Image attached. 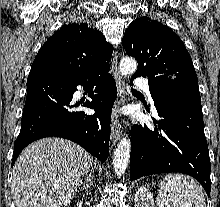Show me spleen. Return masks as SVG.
<instances>
[{"mask_svg": "<svg viewBox=\"0 0 220 207\" xmlns=\"http://www.w3.org/2000/svg\"><path fill=\"white\" fill-rule=\"evenodd\" d=\"M159 207H206L199 184L183 174H168L161 182L157 197Z\"/></svg>", "mask_w": 220, "mask_h": 207, "instance_id": "spleen-1", "label": "spleen"}]
</instances>
